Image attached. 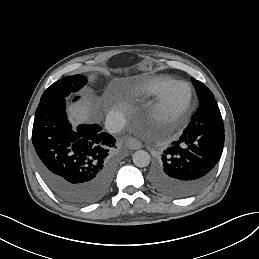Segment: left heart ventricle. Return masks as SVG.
I'll list each match as a JSON object with an SVG mask.
<instances>
[{
	"label": "left heart ventricle",
	"mask_w": 259,
	"mask_h": 259,
	"mask_svg": "<svg viewBox=\"0 0 259 259\" xmlns=\"http://www.w3.org/2000/svg\"><path fill=\"white\" fill-rule=\"evenodd\" d=\"M146 87L151 92L154 104L164 117L176 115L190 99L189 87L182 81L161 83L149 80Z\"/></svg>",
	"instance_id": "b2bd125f"
}]
</instances>
